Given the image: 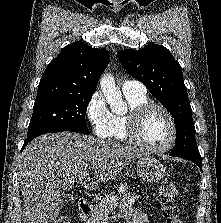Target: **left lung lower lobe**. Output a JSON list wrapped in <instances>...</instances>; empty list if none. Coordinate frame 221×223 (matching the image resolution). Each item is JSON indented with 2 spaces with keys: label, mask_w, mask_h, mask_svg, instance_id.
<instances>
[{
  "label": "left lung lower lobe",
  "mask_w": 221,
  "mask_h": 223,
  "mask_svg": "<svg viewBox=\"0 0 221 223\" xmlns=\"http://www.w3.org/2000/svg\"><path fill=\"white\" fill-rule=\"evenodd\" d=\"M181 158H184V159H187V160H191L193 161L194 163H196L199 168L201 169L202 171V161H201V156L198 157V156H180Z\"/></svg>",
  "instance_id": "0a47b994"
}]
</instances>
